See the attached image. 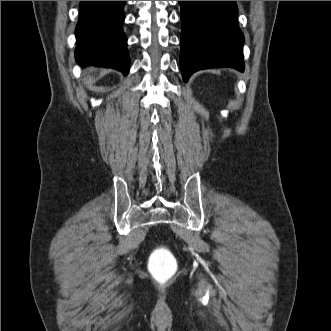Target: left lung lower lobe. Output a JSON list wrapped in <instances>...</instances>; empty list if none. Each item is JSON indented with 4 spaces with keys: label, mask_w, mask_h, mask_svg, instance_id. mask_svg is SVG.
I'll use <instances>...</instances> for the list:
<instances>
[{
    "label": "left lung lower lobe",
    "mask_w": 331,
    "mask_h": 331,
    "mask_svg": "<svg viewBox=\"0 0 331 331\" xmlns=\"http://www.w3.org/2000/svg\"><path fill=\"white\" fill-rule=\"evenodd\" d=\"M183 80L198 70L232 67L244 71V37L235 1H179Z\"/></svg>",
    "instance_id": "0a47b994"
}]
</instances>
